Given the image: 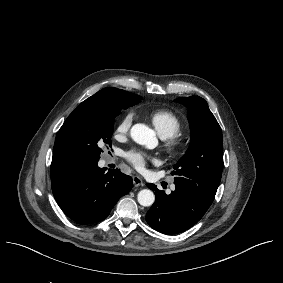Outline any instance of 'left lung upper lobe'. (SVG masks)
I'll use <instances>...</instances> for the list:
<instances>
[{
	"instance_id": "1",
	"label": "left lung upper lobe",
	"mask_w": 283,
	"mask_h": 283,
	"mask_svg": "<svg viewBox=\"0 0 283 283\" xmlns=\"http://www.w3.org/2000/svg\"><path fill=\"white\" fill-rule=\"evenodd\" d=\"M174 101L188 108L191 126L190 146L172 172L174 183L212 203L223 170L221 128L203 98L191 96Z\"/></svg>"
}]
</instances>
